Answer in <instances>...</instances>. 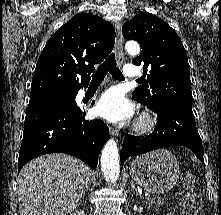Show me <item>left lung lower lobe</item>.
Wrapping results in <instances>:
<instances>
[{"mask_svg":"<svg viewBox=\"0 0 221 215\" xmlns=\"http://www.w3.org/2000/svg\"><path fill=\"white\" fill-rule=\"evenodd\" d=\"M155 113L157 125L151 135L136 137L127 134L125 136L120 153L121 164L130 156L174 145L189 148L204 163L202 141L193 112L168 108Z\"/></svg>","mask_w":221,"mask_h":215,"instance_id":"1","label":"left lung lower lobe"}]
</instances>
